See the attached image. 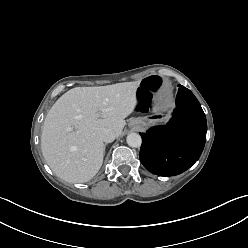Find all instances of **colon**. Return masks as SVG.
Masks as SVG:
<instances>
[{"label": "colon", "instance_id": "obj_1", "mask_svg": "<svg viewBox=\"0 0 248 248\" xmlns=\"http://www.w3.org/2000/svg\"><path fill=\"white\" fill-rule=\"evenodd\" d=\"M157 89L159 91L152 94ZM136 99L132 103V108L138 112L174 110L177 107L176 100L172 99L168 81L156 75L148 76L139 83Z\"/></svg>", "mask_w": 248, "mask_h": 248}]
</instances>
